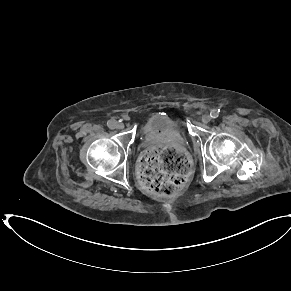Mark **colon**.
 Listing matches in <instances>:
<instances>
[{
	"mask_svg": "<svg viewBox=\"0 0 291 291\" xmlns=\"http://www.w3.org/2000/svg\"><path fill=\"white\" fill-rule=\"evenodd\" d=\"M190 169L186 156L174 147L151 148L140 162L142 186L157 196H172L184 185Z\"/></svg>",
	"mask_w": 291,
	"mask_h": 291,
	"instance_id": "colon-1",
	"label": "colon"
}]
</instances>
